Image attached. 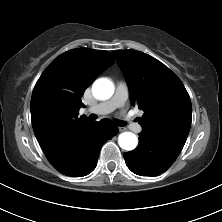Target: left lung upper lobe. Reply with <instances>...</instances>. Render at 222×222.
Here are the masks:
<instances>
[{
  "mask_svg": "<svg viewBox=\"0 0 222 222\" xmlns=\"http://www.w3.org/2000/svg\"><path fill=\"white\" fill-rule=\"evenodd\" d=\"M129 85L132 105L144 111L140 137H153L179 155L191 126L192 106L181 80L164 64L135 50L112 51Z\"/></svg>",
  "mask_w": 222,
  "mask_h": 222,
  "instance_id": "obj_1",
  "label": "left lung upper lobe"
}]
</instances>
